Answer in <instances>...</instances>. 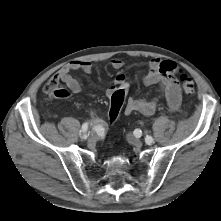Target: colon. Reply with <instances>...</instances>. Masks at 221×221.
I'll list each match as a JSON object with an SVG mask.
<instances>
[{
	"mask_svg": "<svg viewBox=\"0 0 221 221\" xmlns=\"http://www.w3.org/2000/svg\"><path fill=\"white\" fill-rule=\"evenodd\" d=\"M180 81L182 83L183 91L186 94L193 95L195 93L194 82L189 76L181 74ZM44 92L48 96L58 99L67 98L70 95L67 90L59 86V81L54 77L46 82L44 85ZM126 94L127 93L124 88H117L112 92L110 96V109L108 112V118L111 123H114L118 119Z\"/></svg>",
	"mask_w": 221,
	"mask_h": 221,
	"instance_id": "1",
	"label": "colon"
}]
</instances>
